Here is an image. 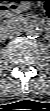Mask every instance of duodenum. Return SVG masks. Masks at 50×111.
I'll use <instances>...</instances> for the list:
<instances>
[{"label":"duodenum","instance_id":"410a0bca","mask_svg":"<svg viewBox=\"0 0 50 111\" xmlns=\"http://www.w3.org/2000/svg\"><path fill=\"white\" fill-rule=\"evenodd\" d=\"M32 26H39L41 28L46 29L47 23L41 20L28 19V20H25L22 25L23 28L32 27Z\"/></svg>","mask_w":50,"mask_h":111}]
</instances>
